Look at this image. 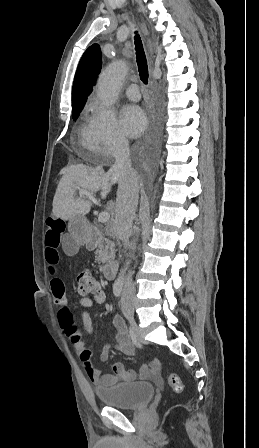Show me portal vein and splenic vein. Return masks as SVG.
<instances>
[{
  "label": "portal vein and splenic vein",
  "instance_id": "18ae733b",
  "mask_svg": "<svg viewBox=\"0 0 259 448\" xmlns=\"http://www.w3.org/2000/svg\"><path fill=\"white\" fill-rule=\"evenodd\" d=\"M98 220L101 224H106V222H109L110 220V214H108V212H102V214H99Z\"/></svg>",
  "mask_w": 259,
  "mask_h": 448
}]
</instances>
